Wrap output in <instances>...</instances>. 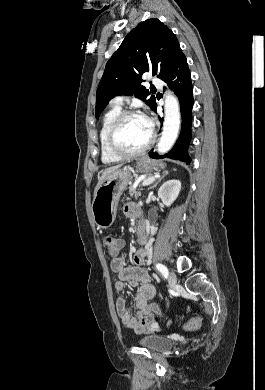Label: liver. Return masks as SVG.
Instances as JSON below:
<instances>
[{
	"label": "liver",
	"instance_id": "liver-1",
	"mask_svg": "<svg viewBox=\"0 0 265 390\" xmlns=\"http://www.w3.org/2000/svg\"><path fill=\"white\" fill-rule=\"evenodd\" d=\"M122 165L119 164V165H116V166H112V167H109L107 169H105L101 175V177H99L98 179V184L97 186L95 187V190H94V197H95V194L97 192V189L98 187L100 186V184L102 183V181L108 176L110 175L111 173L115 172L116 170H118Z\"/></svg>",
	"mask_w": 265,
	"mask_h": 390
}]
</instances>
